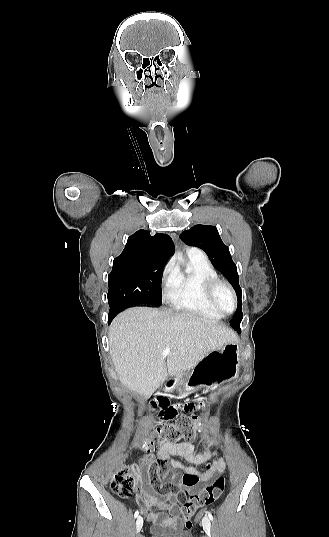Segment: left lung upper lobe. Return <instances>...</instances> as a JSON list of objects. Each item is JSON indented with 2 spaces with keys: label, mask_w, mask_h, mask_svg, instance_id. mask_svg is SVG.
<instances>
[{
  "label": "left lung upper lobe",
  "mask_w": 329,
  "mask_h": 537,
  "mask_svg": "<svg viewBox=\"0 0 329 537\" xmlns=\"http://www.w3.org/2000/svg\"><path fill=\"white\" fill-rule=\"evenodd\" d=\"M181 239L190 246H195L208 255L214 268L219 270L233 286L237 297L238 307L235 316L230 321V325L240 332L242 314V291L239 286V276L237 267L233 262L228 247L222 242L215 226L195 225L187 231L181 233Z\"/></svg>",
  "instance_id": "5c2ea615"
}]
</instances>
